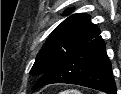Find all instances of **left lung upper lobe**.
<instances>
[{
	"label": "left lung upper lobe",
	"instance_id": "obj_1",
	"mask_svg": "<svg viewBox=\"0 0 121 94\" xmlns=\"http://www.w3.org/2000/svg\"><path fill=\"white\" fill-rule=\"evenodd\" d=\"M70 11L68 9L65 14ZM99 34V28L91 23L89 15L77 13L69 16L51 33L38 53L30 74L43 75L62 58Z\"/></svg>",
	"mask_w": 121,
	"mask_h": 94
}]
</instances>
